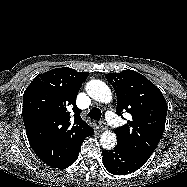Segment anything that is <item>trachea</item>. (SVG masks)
<instances>
[{
  "instance_id": "trachea-1",
  "label": "trachea",
  "mask_w": 187,
  "mask_h": 187,
  "mask_svg": "<svg viewBox=\"0 0 187 187\" xmlns=\"http://www.w3.org/2000/svg\"><path fill=\"white\" fill-rule=\"evenodd\" d=\"M101 115H102L101 110L97 107L92 108L88 113V117L96 121L100 120Z\"/></svg>"
}]
</instances>
